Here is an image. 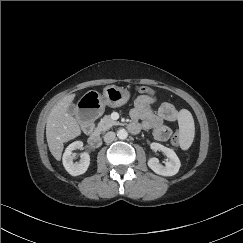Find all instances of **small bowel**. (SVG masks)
Listing matches in <instances>:
<instances>
[{
	"label": "small bowel",
	"mask_w": 243,
	"mask_h": 243,
	"mask_svg": "<svg viewBox=\"0 0 243 243\" xmlns=\"http://www.w3.org/2000/svg\"><path fill=\"white\" fill-rule=\"evenodd\" d=\"M156 102V97L146 95L137 97L131 111L132 123L129 125V130L132 133H137L141 127L145 130H151L157 140L167 141L172 132L164 125V122H175L178 118V111L169 102H162L155 109L154 104Z\"/></svg>",
	"instance_id": "small-bowel-1"
}]
</instances>
